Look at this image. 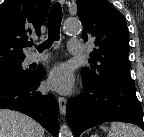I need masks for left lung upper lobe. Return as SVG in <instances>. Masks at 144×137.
<instances>
[{"mask_svg": "<svg viewBox=\"0 0 144 137\" xmlns=\"http://www.w3.org/2000/svg\"><path fill=\"white\" fill-rule=\"evenodd\" d=\"M82 38L94 40L89 67L82 68L83 84L107 82L135 87L130 77L129 33L124 16L107 0H78Z\"/></svg>", "mask_w": 144, "mask_h": 137, "instance_id": "obj_1", "label": "left lung upper lobe"}]
</instances>
